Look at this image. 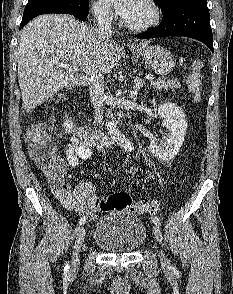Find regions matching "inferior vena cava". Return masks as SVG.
Wrapping results in <instances>:
<instances>
[{
    "mask_svg": "<svg viewBox=\"0 0 233 294\" xmlns=\"http://www.w3.org/2000/svg\"><path fill=\"white\" fill-rule=\"evenodd\" d=\"M98 23L96 33L98 39L103 42H109L112 39V26L110 10L107 7H101L95 12ZM91 102L95 111V121L102 125L103 113L106 103V94L104 87V75L101 68H96L92 72L89 86Z\"/></svg>",
    "mask_w": 233,
    "mask_h": 294,
    "instance_id": "obj_1",
    "label": "inferior vena cava"
}]
</instances>
